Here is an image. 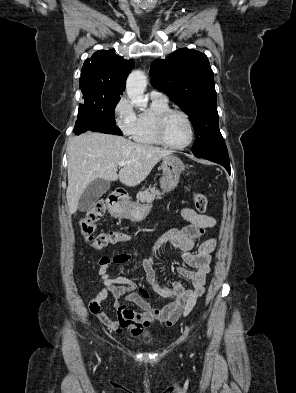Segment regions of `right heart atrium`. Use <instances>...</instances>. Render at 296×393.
<instances>
[{"label":"right heart atrium","mask_w":296,"mask_h":393,"mask_svg":"<svg viewBox=\"0 0 296 393\" xmlns=\"http://www.w3.org/2000/svg\"><path fill=\"white\" fill-rule=\"evenodd\" d=\"M115 119L121 131L129 137H133L137 126V115L131 101L122 97L114 108Z\"/></svg>","instance_id":"obj_1"}]
</instances>
